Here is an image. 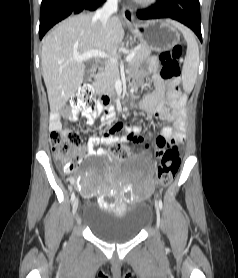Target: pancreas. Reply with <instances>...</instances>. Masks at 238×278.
I'll return each mask as SVG.
<instances>
[{"label":"pancreas","mask_w":238,"mask_h":278,"mask_svg":"<svg viewBox=\"0 0 238 278\" xmlns=\"http://www.w3.org/2000/svg\"><path fill=\"white\" fill-rule=\"evenodd\" d=\"M152 48L146 45H139L134 49L135 56L131 60V64H137L145 58L149 57ZM120 73L116 65L108 63L104 69L97 74L94 87L103 93H112L115 89V82L119 79Z\"/></svg>","instance_id":"1"}]
</instances>
